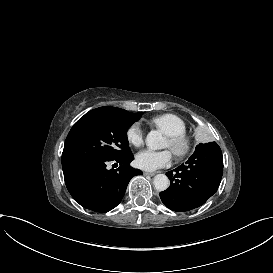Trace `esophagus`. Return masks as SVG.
<instances>
[{"mask_svg":"<svg viewBox=\"0 0 273 273\" xmlns=\"http://www.w3.org/2000/svg\"><path fill=\"white\" fill-rule=\"evenodd\" d=\"M143 174H144V175H147V176H154L156 173H152V172H144Z\"/></svg>","mask_w":273,"mask_h":273,"instance_id":"1","label":"esophagus"}]
</instances>
